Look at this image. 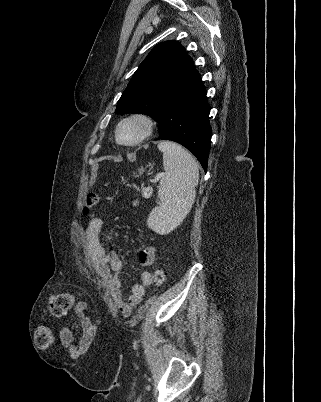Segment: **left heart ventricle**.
<instances>
[{
    "instance_id": "1",
    "label": "left heart ventricle",
    "mask_w": 321,
    "mask_h": 402,
    "mask_svg": "<svg viewBox=\"0 0 321 402\" xmlns=\"http://www.w3.org/2000/svg\"><path fill=\"white\" fill-rule=\"evenodd\" d=\"M140 131L141 128L138 124H126L120 130V139L123 142L132 141L140 134Z\"/></svg>"
}]
</instances>
